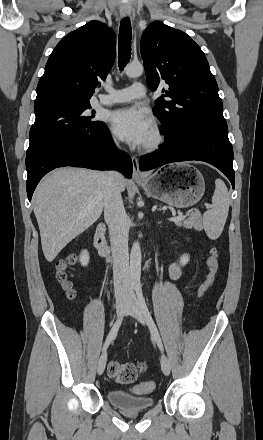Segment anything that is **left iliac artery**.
<instances>
[{"label": "left iliac artery", "mask_w": 263, "mask_h": 440, "mask_svg": "<svg viewBox=\"0 0 263 440\" xmlns=\"http://www.w3.org/2000/svg\"><path fill=\"white\" fill-rule=\"evenodd\" d=\"M136 294H137V298L140 304V307L142 309V312L145 316V319L147 321V324L149 326L152 338L157 342L158 347L161 349V351H163V345H162V341L159 335V332L157 330V327L152 319V316L149 312V309L146 305L143 293H142V289L140 287L136 288Z\"/></svg>", "instance_id": "44dca946"}]
</instances>
